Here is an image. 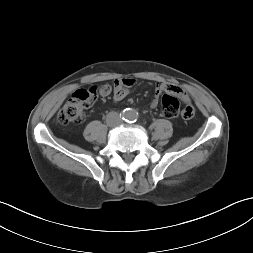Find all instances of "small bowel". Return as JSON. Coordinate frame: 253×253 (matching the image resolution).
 <instances>
[{
    "mask_svg": "<svg viewBox=\"0 0 253 253\" xmlns=\"http://www.w3.org/2000/svg\"><path fill=\"white\" fill-rule=\"evenodd\" d=\"M135 84V80L132 78H120L114 81L113 88L108 85H102L98 88L99 95L102 97L108 96L113 92V100L115 102L122 101L127 95L129 88ZM162 93H171L180 98V100L185 103L180 107L179 113L183 119L191 120L196 115L195 107L190 104L191 99L188 93L179 88L178 86L168 83V82H159L155 88L150 106L156 108L159 103V98Z\"/></svg>",
    "mask_w": 253,
    "mask_h": 253,
    "instance_id": "1",
    "label": "small bowel"
}]
</instances>
